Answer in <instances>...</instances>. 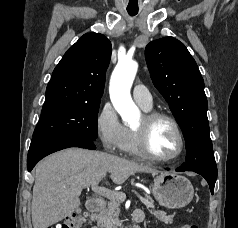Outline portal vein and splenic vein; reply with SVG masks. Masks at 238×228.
<instances>
[{"label":"portal vein and splenic vein","mask_w":238,"mask_h":228,"mask_svg":"<svg viewBox=\"0 0 238 228\" xmlns=\"http://www.w3.org/2000/svg\"><path fill=\"white\" fill-rule=\"evenodd\" d=\"M92 190L98 194L101 195L107 199L110 200H125L126 199V195L122 192H114L111 191L105 187H98V185H95L92 187ZM139 200L147 207V208H154V205L149 202L146 198L141 197L140 195H137Z\"/></svg>","instance_id":"18ae733b"}]
</instances>
